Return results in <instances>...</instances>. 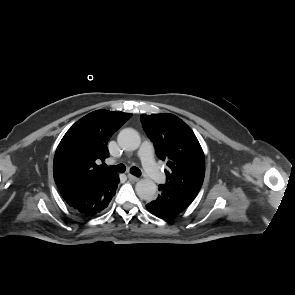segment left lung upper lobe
Wrapping results in <instances>:
<instances>
[{
  "label": "left lung upper lobe",
  "instance_id": "left-lung-upper-lobe-1",
  "mask_svg": "<svg viewBox=\"0 0 295 295\" xmlns=\"http://www.w3.org/2000/svg\"><path fill=\"white\" fill-rule=\"evenodd\" d=\"M143 128L153 141L158 157L166 162L164 188L196 197L205 175L203 150L191 130L172 114L142 115Z\"/></svg>",
  "mask_w": 295,
  "mask_h": 295
}]
</instances>
